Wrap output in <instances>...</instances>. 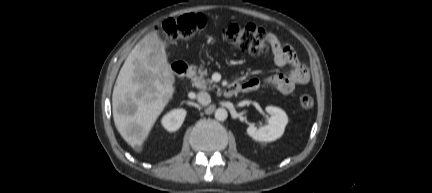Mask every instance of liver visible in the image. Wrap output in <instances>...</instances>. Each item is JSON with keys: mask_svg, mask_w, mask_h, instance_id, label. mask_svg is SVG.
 Segmentation results:
<instances>
[{"mask_svg": "<svg viewBox=\"0 0 432 193\" xmlns=\"http://www.w3.org/2000/svg\"><path fill=\"white\" fill-rule=\"evenodd\" d=\"M174 82L165 46L157 34L151 32L127 56L112 94L115 126L136 151L147 140L158 116L172 98ZM128 105L132 106V111L127 110Z\"/></svg>", "mask_w": 432, "mask_h": 193, "instance_id": "obj_1", "label": "liver"}]
</instances>
